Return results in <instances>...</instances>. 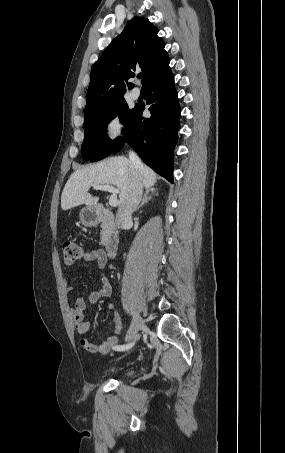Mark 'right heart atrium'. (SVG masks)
Returning <instances> with one entry per match:
<instances>
[{
	"instance_id": "1",
	"label": "right heart atrium",
	"mask_w": 285,
	"mask_h": 453,
	"mask_svg": "<svg viewBox=\"0 0 285 453\" xmlns=\"http://www.w3.org/2000/svg\"><path fill=\"white\" fill-rule=\"evenodd\" d=\"M125 122L121 115H112L105 123V137L109 142L117 141L122 137L125 131Z\"/></svg>"
}]
</instances>
